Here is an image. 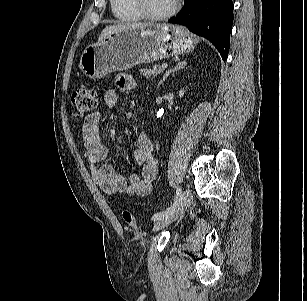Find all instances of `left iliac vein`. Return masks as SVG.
<instances>
[{"mask_svg": "<svg viewBox=\"0 0 307 301\" xmlns=\"http://www.w3.org/2000/svg\"><path fill=\"white\" fill-rule=\"evenodd\" d=\"M191 201H192L191 191L189 189H186L182 194V198L179 201V203L176 205V207L173 210H171L169 213H167L164 217L159 219L155 223L153 230L159 231L168 226L173 221H175L190 206Z\"/></svg>", "mask_w": 307, "mask_h": 301, "instance_id": "1", "label": "left iliac vein"}]
</instances>
